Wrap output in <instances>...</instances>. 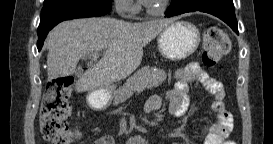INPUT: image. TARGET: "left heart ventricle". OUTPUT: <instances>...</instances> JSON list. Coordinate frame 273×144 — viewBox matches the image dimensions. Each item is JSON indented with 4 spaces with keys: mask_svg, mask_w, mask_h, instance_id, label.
I'll return each instance as SVG.
<instances>
[{
    "mask_svg": "<svg viewBox=\"0 0 273 144\" xmlns=\"http://www.w3.org/2000/svg\"><path fill=\"white\" fill-rule=\"evenodd\" d=\"M162 0H153V2L149 5L153 8L157 7Z\"/></svg>",
    "mask_w": 273,
    "mask_h": 144,
    "instance_id": "left-heart-ventricle-1",
    "label": "left heart ventricle"
}]
</instances>
